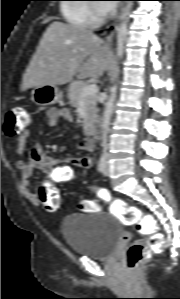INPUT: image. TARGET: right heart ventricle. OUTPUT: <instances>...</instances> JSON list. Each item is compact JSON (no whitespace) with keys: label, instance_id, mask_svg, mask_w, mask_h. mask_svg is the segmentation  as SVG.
Instances as JSON below:
<instances>
[{"label":"right heart ventricle","instance_id":"right-heart-ventricle-1","mask_svg":"<svg viewBox=\"0 0 180 299\" xmlns=\"http://www.w3.org/2000/svg\"><path fill=\"white\" fill-rule=\"evenodd\" d=\"M84 1V0H67ZM65 20L79 28H87L93 25L91 7L88 4L66 3L62 6Z\"/></svg>","mask_w":180,"mask_h":299}]
</instances>
